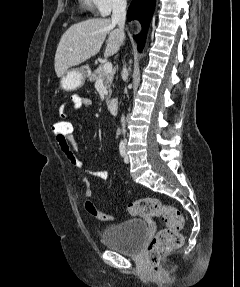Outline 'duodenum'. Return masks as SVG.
Returning <instances> with one entry per match:
<instances>
[{
    "mask_svg": "<svg viewBox=\"0 0 240 287\" xmlns=\"http://www.w3.org/2000/svg\"><path fill=\"white\" fill-rule=\"evenodd\" d=\"M119 101L117 98H111L107 102V108L112 113L115 114L118 110Z\"/></svg>",
    "mask_w": 240,
    "mask_h": 287,
    "instance_id": "duodenum-1",
    "label": "duodenum"
}]
</instances>
